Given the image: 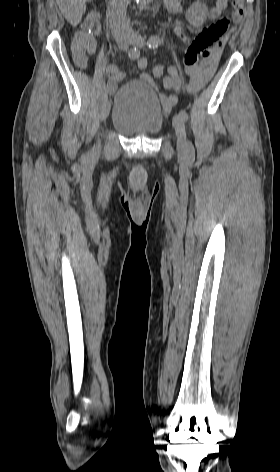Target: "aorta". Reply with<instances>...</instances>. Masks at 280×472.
<instances>
[{
    "mask_svg": "<svg viewBox=\"0 0 280 472\" xmlns=\"http://www.w3.org/2000/svg\"><path fill=\"white\" fill-rule=\"evenodd\" d=\"M138 3H142V2H149L151 0H136Z\"/></svg>",
    "mask_w": 280,
    "mask_h": 472,
    "instance_id": "762f6f07",
    "label": "aorta"
}]
</instances>
